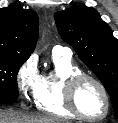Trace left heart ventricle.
Listing matches in <instances>:
<instances>
[{"label": "left heart ventricle", "mask_w": 118, "mask_h": 123, "mask_svg": "<svg viewBox=\"0 0 118 123\" xmlns=\"http://www.w3.org/2000/svg\"><path fill=\"white\" fill-rule=\"evenodd\" d=\"M77 104L88 116L98 117L104 114L106 103L101 90L91 81L82 83L77 91Z\"/></svg>", "instance_id": "b2bd125f"}]
</instances>
